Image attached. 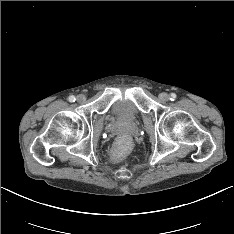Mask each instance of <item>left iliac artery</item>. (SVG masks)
Wrapping results in <instances>:
<instances>
[{"instance_id": "44dca946", "label": "left iliac artery", "mask_w": 234, "mask_h": 234, "mask_svg": "<svg viewBox=\"0 0 234 234\" xmlns=\"http://www.w3.org/2000/svg\"><path fill=\"white\" fill-rule=\"evenodd\" d=\"M176 99V94L175 93H171L170 94V100L174 101Z\"/></svg>"}]
</instances>
